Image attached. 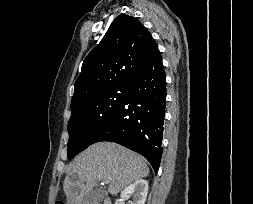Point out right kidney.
I'll list each match as a JSON object with an SVG mask.
<instances>
[{
    "label": "right kidney",
    "mask_w": 253,
    "mask_h": 204,
    "mask_svg": "<svg viewBox=\"0 0 253 204\" xmlns=\"http://www.w3.org/2000/svg\"><path fill=\"white\" fill-rule=\"evenodd\" d=\"M148 194V182L144 179H139L126 187L122 192L120 199L115 204H124V201L133 197L131 204H145Z\"/></svg>",
    "instance_id": "1"
}]
</instances>
